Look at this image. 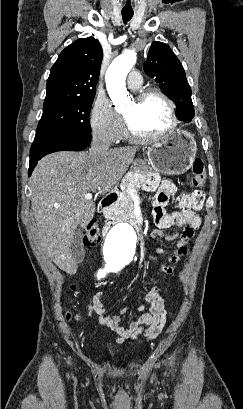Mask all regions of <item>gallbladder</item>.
Here are the masks:
<instances>
[{"instance_id":"obj_1","label":"gallbladder","mask_w":243,"mask_h":409,"mask_svg":"<svg viewBox=\"0 0 243 409\" xmlns=\"http://www.w3.org/2000/svg\"><path fill=\"white\" fill-rule=\"evenodd\" d=\"M70 250H71V254L75 262L76 263L82 262L84 250L82 246V234L80 231H77L75 233Z\"/></svg>"}]
</instances>
